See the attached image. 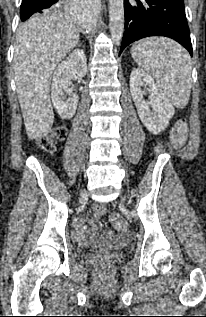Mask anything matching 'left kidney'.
<instances>
[{
	"mask_svg": "<svg viewBox=\"0 0 206 317\" xmlns=\"http://www.w3.org/2000/svg\"><path fill=\"white\" fill-rule=\"evenodd\" d=\"M144 86L150 93V100H144ZM130 92L140 120L153 134H159L169 124L175 110L168 98L143 69L136 68L130 75Z\"/></svg>",
	"mask_w": 206,
	"mask_h": 317,
	"instance_id": "1",
	"label": "left kidney"
}]
</instances>
